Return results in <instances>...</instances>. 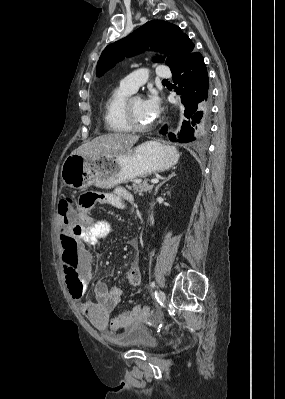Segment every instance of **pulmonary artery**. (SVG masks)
I'll return each mask as SVG.
<instances>
[{"label":"pulmonary artery","instance_id":"pulmonary-artery-1","mask_svg":"<svg viewBox=\"0 0 285 399\" xmlns=\"http://www.w3.org/2000/svg\"><path fill=\"white\" fill-rule=\"evenodd\" d=\"M156 76L158 78H170L171 72L165 65H158L156 69ZM148 78V73L143 70L132 72L121 79L120 86L129 90L131 93L135 92Z\"/></svg>","mask_w":285,"mask_h":399}]
</instances>
